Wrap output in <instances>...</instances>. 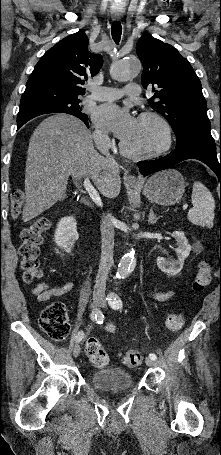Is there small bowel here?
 Here are the masks:
<instances>
[{
  "label": "small bowel",
  "mask_w": 221,
  "mask_h": 455,
  "mask_svg": "<svg viewBox=\"0 0 221 455\" xmlns=\"http://www.w3.org/2000/svg\"><path fill=\"white\" fill-rule=\"evenodd\" d=\"M74 285H75L74 282L70 281L62 286L53 287V286H51V284L49 282H43V283H40L37 286H35L32 289V291L36 295L37 300L40 303H43V302L48 301L51 298L61 297L65 294H67L74 288ZM169 296H170V292H167V291L155 293V298H157L158 300H165V299L169 298ZM105 328L110 333H114L116 330L114 324H112V323L106 324Z\"/></svg>",
  "instance_id": "small-bowel-1"
}]
</instances>
